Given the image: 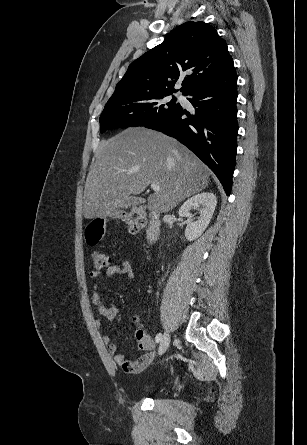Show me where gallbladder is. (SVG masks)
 Masks as SVG:
<instances>
[{"label": "gallbladder", "instance_id": "obj_1", "mask_svg": "<svg viewBox=\"0 0 307 445\" xmlns=\"http://www.w3.org/2000/svg\"><path fill=\"white\" fill-rule=\"evenodd\" d=\"M136 205H141L142 204V199L139 198V196H127L125 198V200L122 202V205L120 206V209L122 211H125L127 209V207H131V206H135Z\"/></svg>", "mask_w": 307, "mask_h": 445}]
</instances>
